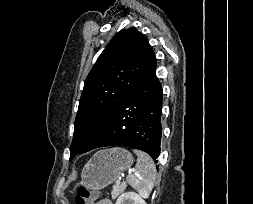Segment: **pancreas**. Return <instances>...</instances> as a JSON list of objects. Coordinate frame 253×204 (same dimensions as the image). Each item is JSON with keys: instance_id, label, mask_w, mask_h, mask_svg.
<instances>
[{"instance_id": "1", "label": "pancreas", "mask_w": 253, "mask_h": 204, "mask_svg": "<svg viewBox=\"0 0 253 204\" xmlns=\"http://www.w3.org/2000/svg\"><path fill=\"white\" fill-rule=\"evenodd\" d=\"M125 189H126V185L125 184L114 185L113 189L111 191L112 199H116L121 193L124 192Z\"/></svg>"}]
</instances>
